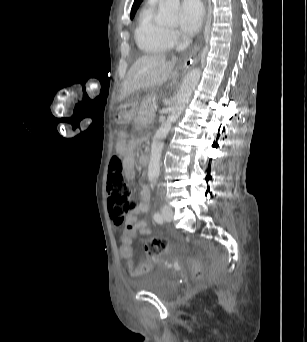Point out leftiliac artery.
Returning <instances> with one entry per match:
<instances>
[{
  "label": "left iliac artery",
  "instance_id": "left-iliac-artery-1",
  "mask_svg": "<svg viewBox=\"0 0 307 342\" xmlns=\"http://www.w3.org/2000/svg\"><path fill=\"white\" fill-rule=\"evenodd\" d=\"M154 220L158 223L162 222V217L159 213L154 214Z\"/></svg>",
  "mask_w": 307,
  "mask_h": 342
}]
</instances>
